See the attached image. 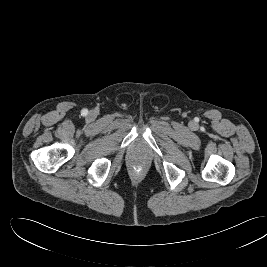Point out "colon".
I'll return each mask as SVG.
<instances>
[{"mask_svg":"<svg viewBox=\"0 0 267 267\" xmlns=\"http://www.w3.org/2000/svg\"><path fill=\"white\" fill-rule=\"evenodd\" d=\"M133 170L136 172V173H139L142 171V166L141 165H135L133 167Z\"/></svg>","mask_w":267,"mask_h":267,"instance_id":"obj_1","label":"colon"}]
</instances>
